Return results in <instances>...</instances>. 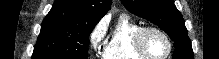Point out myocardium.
Here are the masks:
<instances>
[{"label": "myocardium", "mask_w": 219, "mask_h": 59, "mask_svg": "<svg viewBox=\"0 0 219 59\" xmlns=\"http://www.w3.org/2000/svg\"><path fill=\"white\" fill-rule=\"evenodd\" d=\"M149 32H156L160 34L166 40L168 49H167V52L163 56L154 57L146 51L145 46H144V38H145V35ZM134 49L139 55H141L142 57L146 59H167L173 50V42L170 36L163 29L156 27V26H142L135 35Z\"/></svg>", "instance_id": "obj_1"}]
</instances>
